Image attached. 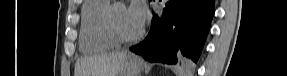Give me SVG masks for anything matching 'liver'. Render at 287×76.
<instances>
[{
	"mask_svg": "<svg viewBox=\"0 0 287 76\" xmlns=\"http://www.w3.org/2000/svg\"><path fill=\"white\" fill-rule=\"evenodd\" d=\"M126 52L104 53L79 59L75 76H116Z\"/></svg>",
	"mask_w": 287,
	"mask_h": 76,
	"instance_id": "6515ba94",
	"label": "liver"
}]
</instances>
